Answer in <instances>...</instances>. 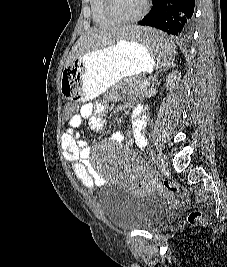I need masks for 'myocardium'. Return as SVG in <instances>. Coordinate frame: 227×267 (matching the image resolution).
<instances>
[{
    "mask_svg": "<svg viewBox=\"0 0 227 267\" xmlns=\"http://www.w3.org/2000/svg\"><path fill=\"white\" fill-rule=\"evenodd\" d=\"M149 9V0H144V4L139 13L131 17L120 16L114 8V0H104V10L106 14L116 23H134L142 19Z\"/></svg>",
    "mask_w": 227,
    "mask_h": 267,
    "instance_id": "1",
    "label": "myocardium"
}]
</instances>
